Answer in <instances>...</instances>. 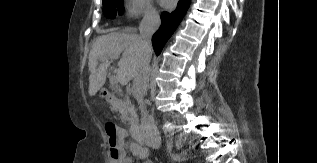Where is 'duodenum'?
Returning a JSON list of instances; mask_svg holds the SVG:
<instances>
[{"label":"duodenum","instance_id":"1","mask_svg":"<svg viewBox=\"0 0 317 163\" xmlns=\"http://www.w3.org/2000/svg\"><path fill=\"white\" fill-rule=\"evenodd\" d=\"M102 94L108 100H111L114 97V94L110 90H107V89H103ZM130 132H131V135L134 138L135 142L140 147L146 148V146H145L146 142H145V138H144V135L142 133L141 127L138 124L133 123V124H131Z\"/></svg>","mask_w":317,"mask_h":163}]
</instances>
